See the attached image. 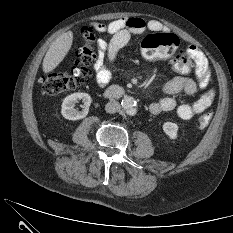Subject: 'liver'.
Returning <instances> with one entry per match:
<instances>
[{"mask_svg":"<svg viewBox=\"0 0 233 233\" xmlns=\"http://www.w3.org/2000/svg\"><path fill=\"white\" fill-rule=\"evenodd\" d=\"M73 42V33L60 35L49 47L42 63L44 73L53 71L65 58Z\"/></svg>","mask_w":233,"mask_h":233,"instance_id":"1","label":"liver"}]
</instances>
